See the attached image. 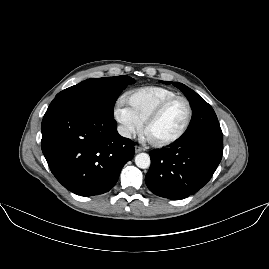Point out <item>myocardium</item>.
<instances>
[{
  "label": "myocardium",
  "mask_w": 269,
  "mask_h": 269,
  "mask_svg": "<svg viewBox=\"0 0 269 269\" xmlns=\"http://www.w3.org/2000/svg\"><path fill=\"white\" fill-rule=\"evenodd\" d=\"M177 101H183L186 104L187 107V116H186V121L184 123V126L180 130V132L175 135L173 138L163 141V142H154L149 139L147 133L150 128V126L165 112V110L171 106L173 103ZM191 118H192V107L189 102V100L183 96H176L171 99L166 100L163 102L161 105H159L154 111H152L148 117L145 120L144 126H143V136L145 140L153 147L158 148V149H164L168 148L170 146L175 145L177 142H179L187 133L190 123H191Z\"/></svg>",
  "instance_id": "f54148a6"
}]
</instances>
